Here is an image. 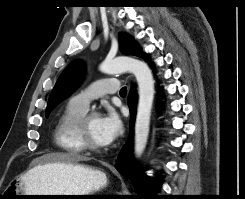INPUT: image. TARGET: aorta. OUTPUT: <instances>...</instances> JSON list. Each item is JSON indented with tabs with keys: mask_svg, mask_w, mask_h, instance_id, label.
<instances>
[{
	"mask_svg": "<svg viewBox=\"0 0 245 199\" xmlns=\"http://www.w3.org/2000/svg\"><path fill=\"white\" fill-rule=\"evenodd\" d=\"M100 70L105 74L131 72L136 77L139 89V101L135 121L134 152L136 156H140L148 140L151 110L155 93L151 70L145 62L124 56L106 59L100 65Z\"/></svg>",
	"mask_w": 245,
	"mask_h": 199,
	"instance_id": "aorta-1",
	"label": "aorta"
}]
</instances>
